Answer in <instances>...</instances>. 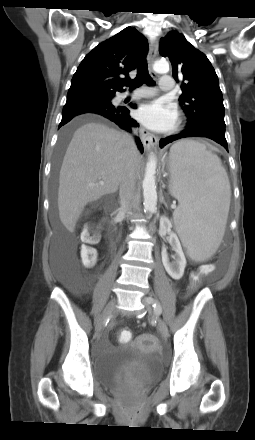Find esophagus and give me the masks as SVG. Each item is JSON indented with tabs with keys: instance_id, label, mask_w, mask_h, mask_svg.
Returning a JSON list of instances; mask_svg holds the SVG:
<instances>
[{
	"instance_id": "1",
	"label": "esophagus",
	"mask_w": 255,
	"mask_h": 440,
	"mask_svg": "<svg viewBox=\"0 0 255 440\" xmlns=\"http://www.w3.org/2000/svg\"><path fill=\"white\" fill-rule=\"evenodd\" d=\"M157 53H158V42L155 39L150 43L149 53H148V64L151 72L153 71L152 70L153 62L156 59ZM141 140L146 150H151L152 148L156 147L158 143V138L155 135L146 131L145 129H141Z\"/></svg>"
}]
</instances>
